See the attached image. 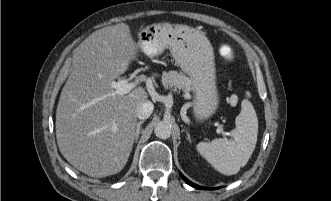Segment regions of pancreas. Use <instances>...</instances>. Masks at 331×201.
<instances>
[{
	"instance_id": "cf45deb5",
	"label": "pancreas",
	"mask_w": 331,
	"mask_h": 201,
	"mask_svg": "<svg viewBox=\"0 0 331 201\" xmlns=\"http://www.w3.org/2000/svg\"><path fill=\"white\" fill-rule=\"evenodd\" d=\"M162 84L166 89L173 87L182 90L185 94H189L192 90L191 80L183 73L177 71L164 72L162 74Z\"/></svg>"
}]
</instances>
